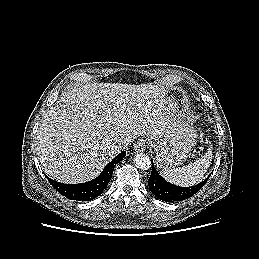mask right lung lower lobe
Wrapping results in <instances>:
<instances>
[{
    "label": "right lung lower lobe",
    "mask_w": 259,
    "mask_h": 259,
    "mask_svg": "<svg viewBox=\"0 0 259 259\" xmlns=\"http://www.w3.org/2000/svg\"><path fill=\"white\" fill-rule=\"evenodd\" d=\"M125 155L126 152L122 151L110 163L106 165V167L98 177L89 182L80 184H64L54 181L48 178L46 175L45 176L50 182V184L60 194L67 197L68 199L78 201H89L96 198L104 191L111 179L114 167L125 157Z\"/></svg>",
    "instance_id": "1"
}]
</instances>
